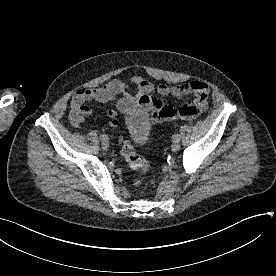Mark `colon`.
I'll return each mask as SVG.
<instances>
[{"mask_svg":"<svg viewBox=\"0 0 276 276\" xmlns=\"http://www.w3.org/2000/svg\"><path fill=\"white\" fill-rule=\"evenodd\" d=\"M121 153L131 168L140 171V174L134 181V184L139 186L149 170L150 162L139 155L133 145L125 138L121 141Z\"/></svg>","mask_w":276,"mask_h":276,"instance_id":"colon-1","label":"colon"}]
</instances>
